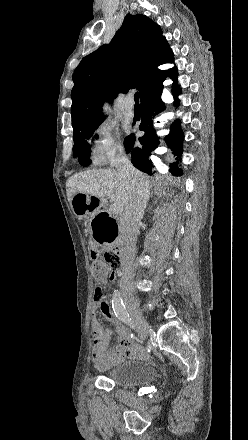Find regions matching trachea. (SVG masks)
<instances>
[{
	"mask_svg": "<svg viewBox=\"0 0 248 440\" xmlns=\"http://www.w3.org/2000/svg\"><path fill=\"white\" fill-rule=\"evenodd\" d=\"M135 107L139 108V93L136 92L134 95Z\"/></svg>",
	"mask_w": 248,
	"mask_h": 440,
	"instance_id": "obj_1",
	"label": "trachea"
}]
</instances>
